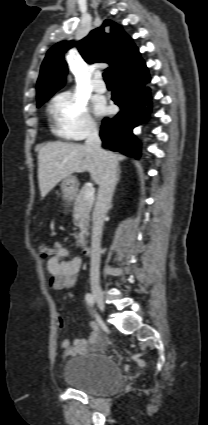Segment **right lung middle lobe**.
Wrapping results in <instances>:
<instances>
[{"label":"right lung middle lobe","instance_id":"1","mask_svg":"<svg viewBox=\"0 0 208 425\" xmlns=\"http://www.w3.org/2000/svg\"><path fill=\"white\" fill-rule=\"evenodd\" d=\"M52 95H49L47 97H45L42 101H40L39 103H37V106H41L44 102H46Z\"/></svg>","mask_w":208,"mask_h":425}]
</instances>
